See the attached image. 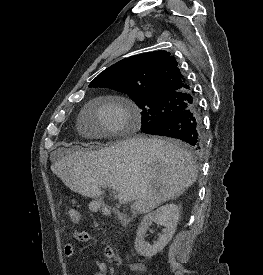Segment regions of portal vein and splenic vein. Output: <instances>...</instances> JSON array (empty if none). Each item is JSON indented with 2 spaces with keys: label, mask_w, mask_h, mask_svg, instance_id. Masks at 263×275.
Instances as JSON below:
<instances>
[{
  "label": "portal vein and splenic vein",
  "mask_w": 263,
  "mask_h": 275,
  "mask_svg": "<svg viewBox=\"0 0 263 275\" xmlns=\"http://www.w3.org/2000/svg\"><path fill=\"white\" fill-rule=\"evenodd\" d=\"M99 185L103 188L107 187L104 183H99ZM114 198L118 199L121 204H126L132 200V197L130 195H126L121 192L115 193Z\"/></svg>",
  "instance_id": "18ae733b"
}]
</instances>
